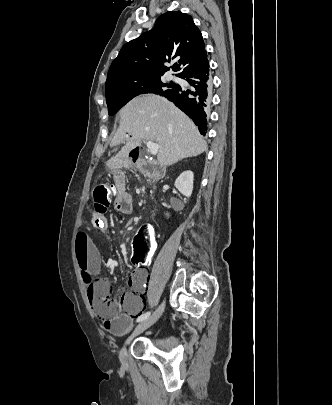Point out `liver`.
I'll use <instances>...</instances> for the list:
<instances>
[{"instance_id": "obj_1", "label": "liver", "mask_w": 332, "mask_h": 405, "mask_svg": "<svg viewBox=\"0 0 332 405\" xmlns=\"http://www.w3.org/2000/svg\"><path fill=\"white\" fill-rule=\"evenodd\" d=\"M120 118L111 146L126 144L117 159H125L132 147L144 141H155L159 145L157 160L163 166H171L207 150V144L192 120L163 97L135 98L121 109Z\"/></svg>"}]
</instances>
